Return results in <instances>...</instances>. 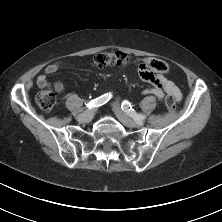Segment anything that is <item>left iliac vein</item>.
Wrapping results in <instances>:
<instances>
[{
    "label": "left iliac vein",
    "mask_w": 222,
    "mask_h": 222,
    "mask_svg": "<svg viewBox=\"0 0 222 222\" xmlns=\"http://www.w3.org/2000/svg\"><path fill=\"white\" fill-rule=\"evenodd\" d=\"M113 111L117 118L127 127L130 128H136V127H141L143 125V121H135L131 119L120 107L118 103H114L112 105Z\"/></svg>",
    "instance_id": "left-iliac-vein-1"
}]
</instances>
